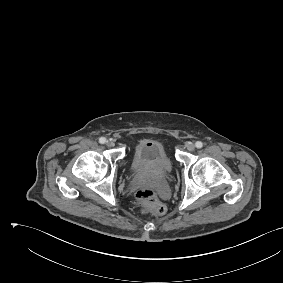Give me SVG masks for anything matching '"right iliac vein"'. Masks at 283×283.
I'll list each match as a JSON object with an SVG mask.
<instances>
[{
    "mask_svg": "<svg viewBox=\"0 0 283 283\" xmlns=\"http://www.w3.org/2000/svg\"><path fill=\"white\" fill-rule=\"evenodd\" d=\"M106 145H107L108 147H113V146L115 145V143H114L112 140H108V141L106 142Z\"/></svg>",
    "mask_w": 283,
    "mask_h": 283,
    "instance_id": "1",
    "label": "right iliac vein"
}]
</instances>
